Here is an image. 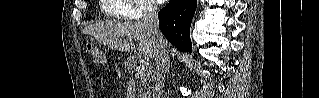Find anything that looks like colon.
Returning a JSON list of instances; mask_svg holds the SVG:
<instances>
[{
  "label": "colon",
  "mask_w": 319,
  "mask_h": 98,
  "mask_svg": "<svg viewBox=\"0 0 319 98\" xmlns=\"http://www.w3.org/2000/svg\"><path fill=\"white\" fill-rule=\"evenodd\" d=\"M87 51H88V54H89L91 61L94 64L102 66L106 63V59H105L103 53L93 44L89 43L87 45Z\"/></svg>",
  "instance_id": "colon-1"
}]
</instances>
